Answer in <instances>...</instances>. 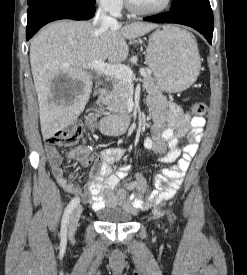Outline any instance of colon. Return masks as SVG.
<instances>
[{"mask_svg": "<svg viewBox=\"0 0 247 275\" xmlns=\"http://www.w3.org/2000/svg\"><path fill=\"white\" fill-rule=\"evenodd\" d=\"M192 112L196 115H202L205 112V105L201 102L192 105ZM83 139V130L80 124H72L46 139V143L53 146L71 147ZM70 157L77 159V152L70 153Z\"/></svg>", "mask_w": 247, "mask_h": 275, "instance_id": "5ec220e1", "label": "colon"}]
</instances>
